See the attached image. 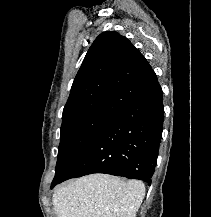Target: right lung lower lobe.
I'll list each match as a JSON object with an SVG mask.
<instances>
[{
	"label": "right lung lower lobe",
	"instance_id": "obj_1",
	"mask_svg": "<svg viewBox=\"0 0 211 217\" xmlns=\"http://www.w3.org/2000/svg\"><path fill=\"white\" fill-rule=\"evenodd\" d=\"M163 92L157 83L127 104L53 188L70 178L106 173L151 184L163 129Z\"/></svg>",
	"mask_w": 211,
	"mask_h": 217
}]
</instances>
